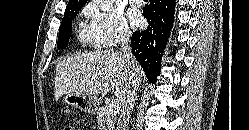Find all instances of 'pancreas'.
Instances as JSON below:
<instances>
[{"label": "pancreas", "mask_w": 249, "mask_h": 130, "mask_svg": "<svg viewBox=\"0 0 249 130\" xmlns=\"http://www.w3.org/2000/svg\"><path fill=\"white\" fill-rule=\"evenodd\" d=\"M108 107L104 106L97 110V124L99 130H115L116 115L108 114Z\"/></svg>", "instance_id": "1"}]
</instances>
